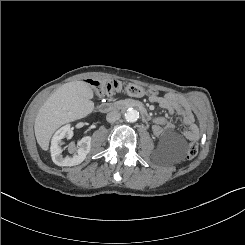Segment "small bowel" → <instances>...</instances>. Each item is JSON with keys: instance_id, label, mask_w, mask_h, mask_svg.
Wrapping results in <instances>:
<instances>
[{"instance_id": "1", "label": "small bowel", "mask_w": 245, "mask_h": 245, "mask_svg": "<svg viewBox=\"0 0 245 245\" xmlns=\"http://www.w3.org/2000/svg\"><path fill=\"white\" fill-rule=\"evenodd\" d=\"M151 102L158 103V105L166 109L170 114L177 113L183 124L187 126L184 132L186 139L190 141H197L200 138V130L196 124L195 117L191 112L187 102L175 93H167L163 96H151ZM174 123L164 117H157L154 119L152 131L154 136L159 137L165 130H172Z\"/></svg>"}]
</instances>
